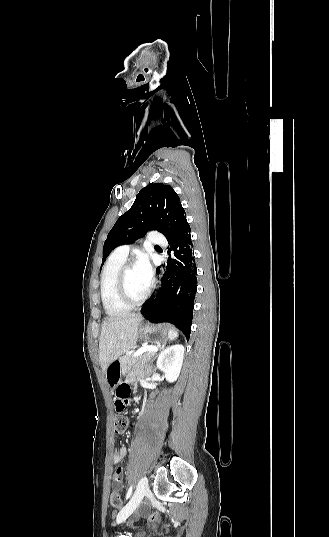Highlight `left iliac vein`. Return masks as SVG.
<instances>
[{
    "label": "left iliac vein",
    "mask_w": 329,
    "mask_h": 537,
    "mask_svg": "<svg viewBox=\"0 0 329 537\" xmlns=\"http://www.w3.org/2000/svg\"><path fill=\"white\" fill-rule=\"evenodd\" d=\"M148 480L143 476L137 485V488L129 502L121 509L117 516V523L124 522L142 503L145 494L148 492Z\"/></svg>",
    "instance_id": "obj_1"
}]
</instances>
